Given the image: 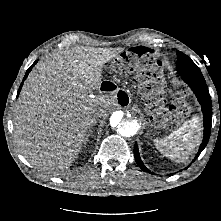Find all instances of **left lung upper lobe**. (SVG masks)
I'll return each instance as SVG.
<instances>
[{
	"instance_id": "5c2ea615",
	"label": "left lung upper lobe",
	"mask_w": 221,
	"mask_h": 221,
	"mask_svg": "<svg viewBox=\"0 0 221 221\" xmlns=\"http://www.w3.org/2000/svg\"><path fill=\"white\" fill-rule=\"evenodd\" d=\"M177 71L180 74L195 73L201 74L198 66L184 53L177 51Z\"/></svg>"
}]
</instances>
